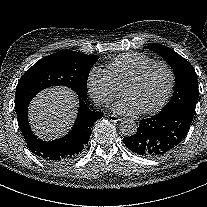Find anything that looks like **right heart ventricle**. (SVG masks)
<instances>
[{
    "label": "right heart ventricle",
    "instance_id": "obj_1",
    "mask_svg": "<svg viewBox=\"0 0 207 207\" xmlns=\"http://www.w3.org/2000/svg\"><path fill=\"white\" fill-rule=\"evenodd\" d=\"M154 61L151 57L140 53H126L115 58L109 65L107 75L112 84L118 89L140 68Z\"/></svg>",
    "mask_w": 207,
    "mask_h": 207
}]
</instances>
